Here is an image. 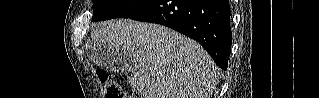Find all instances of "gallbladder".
I'll list each match as a JSON object with an SVG mask.
<instances>
[{
  "label": "gallbladder",
  "instance_id": "obj_1",
  "mask_svg": "<svg viewBox=\"0 0 319 98\" xmlns=\"http://www.w3.org/2000/svg\"><path fill=\"white\" fill-rule=\"evenodd\" d=\"M89 54L93 56V62L106 69L128 73L134 68V59L131 54L117 50L104 44L90 48Z\"/></svg>",
  "mask_w": 319,
  "mask_h": 98
}]
</instances>
